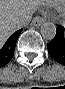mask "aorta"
Listing matches in <instances>:
<instances>
[{
	"label": "aorta",
	"instance_id": "aorta-1",
	"mask_svg": "<svg viewBox=\"0 0 65 89\" xmlns=\"http://www.w3.org/2000/svg\"><path fill=\"white\" fill-rule=\"evenodd\" d=\"M40 33L46 40H52L56 35V26L52 22H45L42 24Z\"/></svg>",
	"mask_w": 65,
	"mask_h": 89
}]
</instances>
